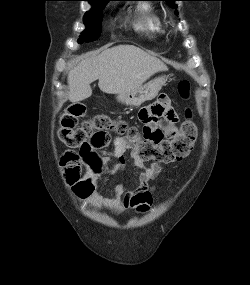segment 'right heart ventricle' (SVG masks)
Segmentation results:
<instances>
[{"instance_id":"right-heart-ventricle-1","label":"right heart ventricle","mask_w":250,"mask_h":285,"mask_svg":"<svg viewBox=\"0 0 250 285\" xmlns=\"http://www.w3.org/2000/svg\"><path fill=\"white\" fill-rule=\"evenodd\" d=\"M140 14L136 28L143 34L155 38L163 33V24L160 17L153 11L148 4H140L137 6Z\"/></svg>"}]
</instances>
